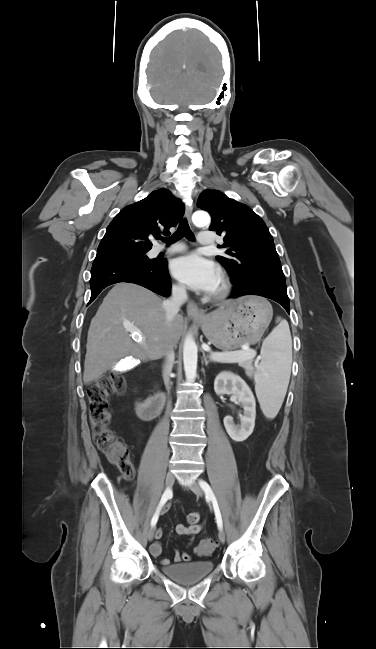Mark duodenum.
Returning a JSON list of instances; mask_svg holds the SVG:
<instances>
[{
	"instance_id": "1",
	"label": "duodenum",
	"mask_w": 376,
	"mask_h": 649,
	"mask_svg": "<svg viewBox=\"0 0 376 649\" xmlns=\"http://www.w3.org/2000/svg\"><path fill=\"white\" fill-rule=\"evenodd\" d=\"M163 402V395H155L147 398H137L135 401L136 414L142 420H151L161 412Z\"/></svg>"
}]
</instances>
